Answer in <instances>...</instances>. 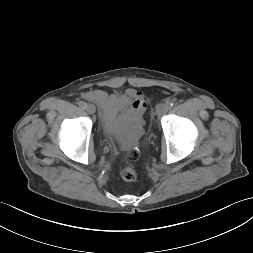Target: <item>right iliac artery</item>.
I'll return each mask as SVG.
<instances>
[{"label": "right iliac artery", "mask_w": 253, "mask_h": 253, "mask_svg": "<svg viewBox=\"0 0 253 253\" xmlns=\"http://www.w3.org/2000/svg\"><path fill=\"white\" fill-rule=\"evenodd\" d=\"M79 107L82 108V109H85L86 108V103L84 101H80L79 102Z\"/></svg>", "instance_id": "obj_1"}]
</instances>
